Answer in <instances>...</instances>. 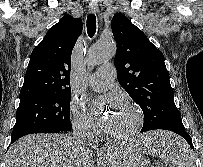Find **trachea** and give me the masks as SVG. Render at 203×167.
I'll return each instance as SVG.
<instances>
[{
  "mask_svg": "<svg viewBox=\"0 0 203 167\" xmlns=\"http://www.w3.org/2000/svg\"><path fill=\"white\" fill-rule=\"evenodd\" d=\"M87 33L89 37H93L96 33V16L89 14L87 17Z\"/></svg>",
  "mask_w": 203,
  "mask_h": 167,
  "instance_id": "obj_1",
  "label": "trachea"
}]
</instances>
